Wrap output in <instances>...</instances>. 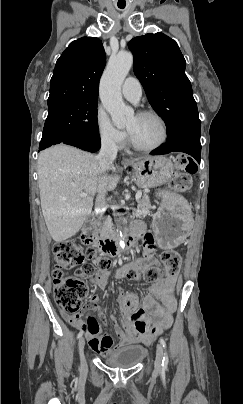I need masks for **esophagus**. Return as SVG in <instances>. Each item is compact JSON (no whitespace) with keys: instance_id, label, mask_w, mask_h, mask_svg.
I'll return each instance as SVG.
<instances>
[{"instance_id":"34e87169","label":"esophagus","mask_w":243,"mask_h":404,"mask_svg":"<svg viewBox=\"0 0 243 404\" xmlns=\"http://www.w3.org/2000/svg\"><path fill=\"white\" fill-rule=\"evenodd\" d=\"M125 162H126V163H130V160H129V159H126Z\"/></svg>"}]
</instances>
